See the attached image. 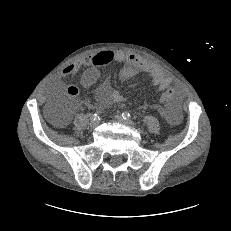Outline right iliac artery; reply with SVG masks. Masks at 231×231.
I'll list each match as a JSON object with an SVG mask.
<instances>
[{
  "instance_id": "82829eb1",
  "label": "right iliac artery",
  "mask_w": 231,
  "mask_h": 231,
  "mask_svg": "<svg viewBox=\"0 0 231 231\" xmlns=\"http://www.w3.org/2000/svg\"><path fill=\"white\" fill-rule=\"evenodd\" d=\"M90 118H91V120H96V119H98V118H99L98 112L93 113V114L91 115Z\"/></svg>"
}]
</instances>
